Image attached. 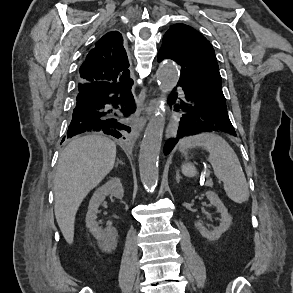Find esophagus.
Segmentation results:
<instances>
[{
  "mask_svg": "<svg viewBox=\"0 0 293 293\" xmlns=\"http://www.w3.org/2000/svg\"><path fill=\"white\" fill-rule=\"evenodd\" d=\"M156 100H151L143 105L138 109L136 122H137V129L142 131L144 126L154 111Z\"/></svg>",
  "mask_w": 293,
  "mask_h": 293,
  "instance_id": "1",
  "label": "esophagus"
}]
</instances>
